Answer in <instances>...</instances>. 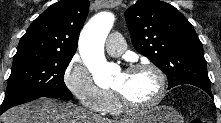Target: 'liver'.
<instances>
[{"mask_svg": "<svg viewBox=\"0 0 221 123\" xmlns=\"http://www.w3.org/2000/svg\"><path fill=\"white\" fill-rule=\"evenodd\" d=\"M3 123H130L131 120H109L72 103L40 99L13 107L2 116Z\"/></svg>", "mask_w": 221, "mask_h": 123, "instance_id": "obj_1", "label": "liver"}]
</instances>
